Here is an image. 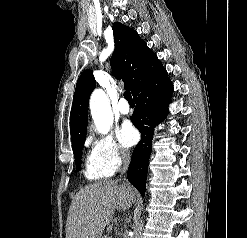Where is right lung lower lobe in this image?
<instances>
[{"label": "right lung lower lobe", "instance_id": "1", "mask_svg": "<svg viewBox=\"0 0 247 238\" xmlns=\"http://www.w3.org/2000/svg\"><path fill=\"white\" fill-rule=\"evenodd\" d=\"M172 93L173 85L163 70L134 96L136 108L131 119L142 137L133 151L127 178L142 196L145 194L154 127L165 119Z\"/></svg>", "mask_w": 247, "mask_h": 238}]
</instances>
